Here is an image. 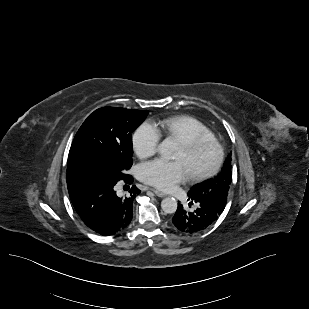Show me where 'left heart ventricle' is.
<instances>
[{"mask_svg": "<svg viewBox=\"0 0 309 309\" xmlns=\"http://www.w3.org/2000/svg\"><path fill=\"white\" fill-rule=\"evenodd\" d=\"M213 157L214 153L211 149H204L197 154L189 155L181 145L175 158L183 161L191 174L206 168L212 162Z\"/></svg>", "mask_w": 309, "mask_h": 309, "instance_id": "1", "label": "left heart ventricle"}]
</instances>
